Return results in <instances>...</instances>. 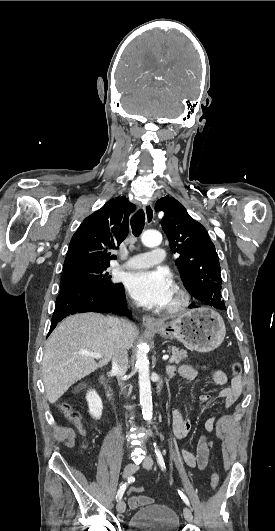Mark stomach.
<instances>
[{"label":"stomach","mask_w":275,"mask_h":531,"mask_svg":"<svg viewBox=\"0 0 275 531\" xmlns=\"http://www.w3.org/2000/svg\"><path fill=\"white\" fill-rule=\"evenodd\" d=\"M159 329H153L163 339H177L192 351L210 353L225 339V323L216 311L200 307L178 315L172 321H158Z\"/></svg>","instance_id":"1"}]
</instances>
